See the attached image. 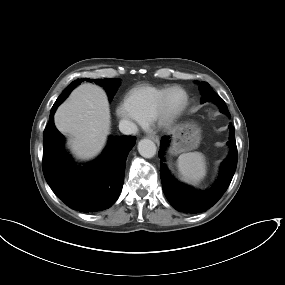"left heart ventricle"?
<instances>
[{
  "label": "left heart ventricle",
  "instance_id": "1",
  "mask_svg": "<svg viewBox=\"0 0 285 285\" xmlns=\"http://www.w3.org/2000/svg\"><path fill=\"white\" fill-rule=\"evenodd\" d=\"M183 100H184L183 93L180 91H174L170 97V106L172 108H177L182 104Z\"/></svg>",
  "mask_w": 285,
  "mask_h": 285
}]
</instances>
